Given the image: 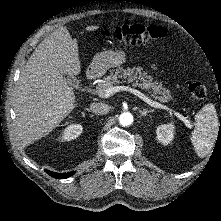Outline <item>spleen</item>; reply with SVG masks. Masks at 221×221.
<instances>
[{
  "label": "spleen",
  "mask_w": 221,
  "mask_h": 221,
  "mask_svg": "<svg viewBox=\"0 0 221 221\" xmlns=\"http://www.w3.org/2000/svg\"><path fill=\"white\" fill-rule=\"evenodd\" d=\"M196 127L191 142L199 157H205L213 148L219 129V120L213 104H206L195 115Z\"/></svg>",
  "instance_id": "obj_1"
}]
</instances>
